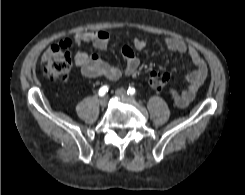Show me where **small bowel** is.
Here are the masks:
<instances>
[{
    "label": "small bowel",
    "instance_id": "obj_1",
    "mask_svg": "<svg viewBox=\"0 0 245 195\" xmlns=\"http://www.w3.org/2000/svg\"><path fill=\"white\" fill-rule=\"evenodd\" d=\"M110 36L106 31H86L75 34L72 39L73 44L91 43L97 49H105L108 46ZM164 44L167 49L180 54H187L195 68L186 76L188 83L187 88L178 92L170 90L169 93L176 104L180 108H184L195 98L199 88L203 84L208 74V66L205 60L200 56L198 51L192 45L184 41L170 37L165 39ZM146 47V40L136 38L133 42V48L124 46L122 48V56L126 62L123 70L103 61L97 54H90L86 51H80L75 56L76 66L81 73L88 78L103 77L109 80H117L122 75H132L139 67V59L135 54V50H142ZM50 50H47L42 60L49 58Z\"/></svg>",
    "mask_w": 245,
    "mask_h": 195
}]
</instances>
